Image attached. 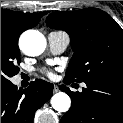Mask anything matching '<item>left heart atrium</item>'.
<instances>
[{
  "mask_svg": "<svg viewBox=\"0 0 123 123\" xmlns=\"http://www.w3.org/2000/svg\"><path fill=\"white\" fill-rule=\"evenodd\" d=\"M44 72H45V74H46L49 78H53V77H54L53 71H51V70H45Z\"/></svg>",
  "mask_w": 123,
  "mask_h": 123,
  "instance_id": "1",
  "label": "left heart atrium"
}]
</instances>
